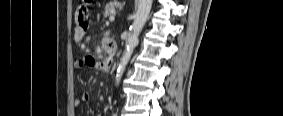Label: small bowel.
<instances>
[{"label":"small bowel","mask_w":283,"mask_h":116,"mask_svg":"<svg viewBox=\"0 0 283 116\" xmlns=\"http://www.w3.org/2000/svg\"><path fill=\"white\" fill-rule=\"evenodd\" d=\"M77 22L74 29V40L76 43L81 44L85 38L87 31V23L85 20L86 17V9L84 7H80L76 10L75 13ZM85 66H91L98 70L105 71V69L109 68V62L105 60H98L93 57H85L75 63L76 69H82ZM91 93L88 91H84L81 93L80 98L76 100V106L80 104V102H88L91 99Z\"/></svg>","instance_id":"c3829d8e"}]
</instances>
